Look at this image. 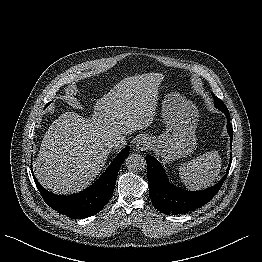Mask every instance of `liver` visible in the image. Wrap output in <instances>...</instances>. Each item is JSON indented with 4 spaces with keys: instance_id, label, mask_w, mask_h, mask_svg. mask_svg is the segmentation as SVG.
Masks as SVG:
<instances>
[{
    "instance_id": "obj_1",
    "label": "liver",
    "mask_w": 262,
    "mask_h": 262,
    "mask_svg": "<svg viewBox=\"0 0 262 262\" xmlns=\"http://www.w3.org/2000/svg\"><path fill=\"white\" fill-rule=\"evenodd\" d=\"M163 79L161 73L124 78L97 100L92 119L75 112L60 115L45 133L35 162L41 185L59 194L90 185L108 158L107 143L152 123Z\"/></svg>"
}]
</instances>
